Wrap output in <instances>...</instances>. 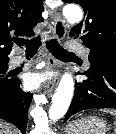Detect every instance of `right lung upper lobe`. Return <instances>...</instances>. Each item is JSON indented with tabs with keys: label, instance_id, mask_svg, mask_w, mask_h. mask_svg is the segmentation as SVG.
I'll use <instances>...</instances> for the list:
<instances>
[{
	"label": "right lung upper lobe",
	"instance_id": "right-lung-upper-lobe-1",
	"mask_svg": "<svg viewBox=\"0 0 116 134\" xmlns=\"http://www.w3.org/2000/svg\"><path fill=\"white\" fill-rule=\"evenodd\" d=\"M43 10L42 0H0V62L8 61L15 37L34 35Z\"/></svg>",
	"mask_w": 116,
	"mask_h": 134
}]
</instances>
